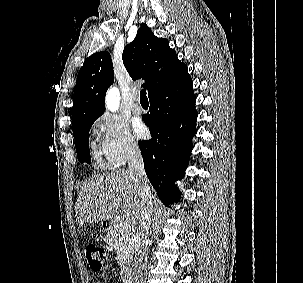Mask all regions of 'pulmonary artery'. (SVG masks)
Listing matches in <instances>:
<instances>
[{
	"label": "pulmonary artery",
	"mask_w": 303,
	"mask_h": 283,
	"mask_svg": "<svg viewBox=\"0 0 303 283\" xmlns=\"http://www.w3.org/2000/svg\"><path fill=\"white\" fill-rule=\"evenodd\" d=\"M132 111L135 114H141L143 112V107L139 101V95L135 94V101L132 106Z\"/></svg>",
	"instance_id": "e3ab8cb5"
}]
</instances>
